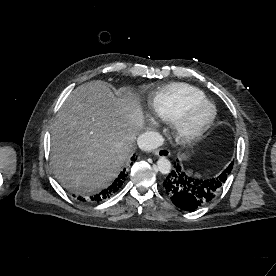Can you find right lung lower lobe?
Listing matches in <instances>:
<instances>
[{
    "label": "right lung lower lobe",
    "instance_id": "obj_1",
    "mask_svg": "<svg viewBox=\"0 0 276 276\" xmlns=\"http://www.w3.org/2000/svg\"><path fill=\"white\" fill-rule=\"evenodd\" d=\"M131 160L132 162H134L136 158L133 156ZM125 176H126V169L124 168L123 171L119 174V176L115 179V181L111 183V185L108 188L102 190L101 192L95 194L94 196H91L90 199L98 203L114 195L124 183ZM78 199L80 200L81 197H78ZM84 200L85 199H81V201H84Z\"/></svg>",
    "mask_w": 276,
    "mask_h": 276
}]
</instances>
